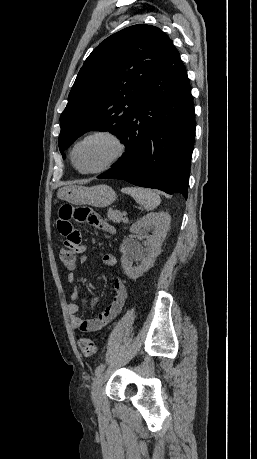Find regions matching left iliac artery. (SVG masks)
<instances>
[{
	"label": "left iliac artery",
	"mask_w": 257,
	"mask_h": 459,
	"mask_svg": "<svg viewBox=\"0 0 257 459\" xmlns=\"http://www.w3.org/2000/svg\"><path fill=\"white\" fill-rule=\"evenodd\" d=\"M104 368H105L104 364H100L99 366H97V368L95 369V375L98 376L99 374H101Z\"/></svg>",
	"instance_id": "1"
}]
</instances>
